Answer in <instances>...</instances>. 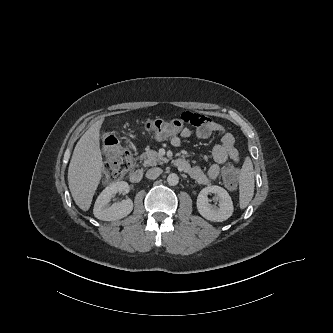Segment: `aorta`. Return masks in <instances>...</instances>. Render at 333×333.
I'll use <instances>...</instances> for the list:
<instances>
[{
  "instance_id": "aorta-1",
  "label": "aorta",
  "mask_w": 333,
  "mask_h": 333,
  "mask_svg": "<svg viewBox=\"0 0 333 333\" xmlns=\"http://www.w3.org/2000/svg\"><path fill=\"white\" fill-rule=\"evenodd\" d=\"M167 182H168V184L171 185V186H175V185H177L178 182H179V177H178V175L175 174V173H171V174H169L168 177H167Z\"/></svg>"
}]
</instances>
